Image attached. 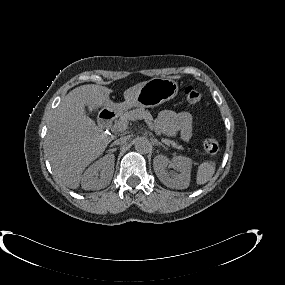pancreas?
I'll return each instance as SVG.
<instances>
[{
    "instance_id": "cf45deb5",
    "label": "pancreas",
    "mask_w": 285,
    "mask_h": 285,
    "mask_svg": "<svg viewBox=\"0 0 285 285\" xmlns=\"http://www.w3.org/2000/svg\"><path fill=\"white\" fill-rule=\"evenodd\" d=\"M138 119H144L149 121L152 124L153 117L151 113L148 110H145L143 107L134 109L132 111L124 113L119 120L115 121V124L113 126L114 131L116 132H123L124 128H122V125L128 126L130 121L138 120ZM162 141L168 145L172 146L173 148H176L178 150L184 149L182 145H179L176 141L163 138Z\"/></svg>"
}]
</instances>
